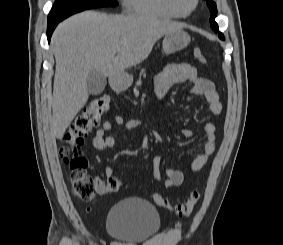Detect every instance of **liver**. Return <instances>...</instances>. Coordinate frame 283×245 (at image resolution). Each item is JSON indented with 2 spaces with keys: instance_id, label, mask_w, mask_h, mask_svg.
Returning <instances> with one entry per match:
<instances>
[{
  "instance_id": "obj_1",
  "label": "liver",
  "mask_w": 283,
  "mask_h": 245,
  "mask_svg": "<svg viewBox=\"0 0 283 245\" xmlns=\"http://www.w3.org/2000/svg\"><path fill=\"white\" fill-rule=\"evenodd\" d=\"M182 27L148 16L95 11L78 13L60 23L51 41L56 60L51 120L54 136L62 138L87 103L86 80L92 70L115 77L144 61L162 36Z\"/></svg>"
}]
</instances>
